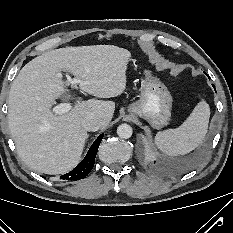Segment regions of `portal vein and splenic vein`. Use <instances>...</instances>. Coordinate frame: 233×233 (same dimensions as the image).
Here are the masks:
<instances>
[{
    "instance_id": "1",
    "label": "portal vein and splenic vein",
    "mask_w": 233,
    "mask_h": 233,
    "mask_svg": "<svg viewBox=\"0 0 233 233\" xmlns=\"http://www.w3.org/2000/svg\"><path fill=\"white\" fill-rule=\"evenodd\" d=\"M68 82L72 87H75L77 84H79L81 81L79 79L73 78L71 79L69 76H67ZM72 108L70 103H62L53 108V112L57 115L64 114L68 112Z\"/></svg>"
}]
</instances>
